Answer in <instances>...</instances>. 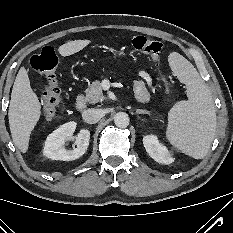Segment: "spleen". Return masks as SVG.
I'll return each mask as SVG.
<instances>
[{"label": "spleen", "mask_w": 233, "mask_h": 233, "mask_svg": "<svg viewBox=\"0 0 233 233\" xmlns=\"http://www.w3.org/2000/svg\"><path fill=\"white\" fill-rule=\"evenodd\" d=\"M172 70L187 87L188 101H180L169 112L166 138L177 150L194 159L204 158L216 132V109L209 87L196 68L182 55L169 56Z\"/></svg>", "instance_id": "3e777b00"}]
</instances>
